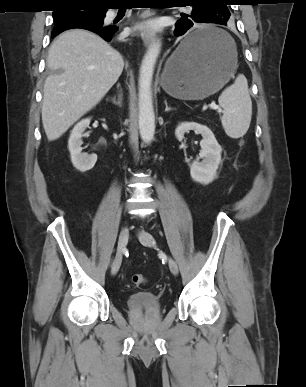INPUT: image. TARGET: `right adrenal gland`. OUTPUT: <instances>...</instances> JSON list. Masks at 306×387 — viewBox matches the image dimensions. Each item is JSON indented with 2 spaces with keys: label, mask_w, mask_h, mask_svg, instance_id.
<instances>
[{
  "label": "right adrenal gland",
  "mask_w": 306,
  "mask_h": 387,
  "mask_svg": "<svg viewBox=\"0 0 306 387\" xmlns=\"http://www.w3.org/2000/svg\"><path fill=\"white\" fill-rule=\"evenodd\" d=\"M117 89H118L117 99H116V96H114V97H111V101L114 105H117L120 107L122 103L123 93L119 83L117 84Z\"/></svg>",
  "instance_id": "1"
}]
</instances>
